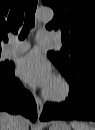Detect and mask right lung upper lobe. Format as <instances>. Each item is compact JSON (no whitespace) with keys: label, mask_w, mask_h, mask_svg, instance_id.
I'll return each mask as SVG.
<instances>
[{"label":"right lung upper lobe","mask_w":95,"mask_h":130,"mask_svg":"<svg viewBox=\"0 0 95 130\" xmlns=\"http://www.w3.org/2000/svg\"><path fill=\"white\" fill-rule=\"evenodd\" d=\"M25 4L26 0H0V41L8 32L17 33L23 22Z\"/></svg>","instance_id":"right-lung-upper-lobe-1"}]
</instances>
